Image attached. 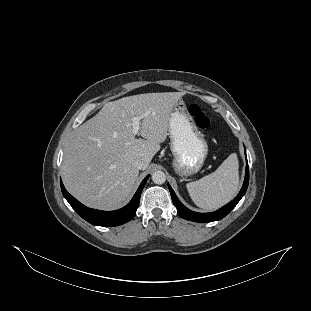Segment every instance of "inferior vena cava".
Masks as SVG:
<instances>
[{"label":"inferior vena cava","mask_w":311,"mask_h":311,"mask_svg":"<svg viewBox=\"0 0 311 311\" xmlns=\"http://www.w3.org/2000/svg\"><path fill=\"white\" fill-rule=\"evenodd\" d=\"M132 165L137 169L142 170L145 166V163L141 158H137L132 162Z\"/></svg>","instance_id":"1"}]
</instances>
